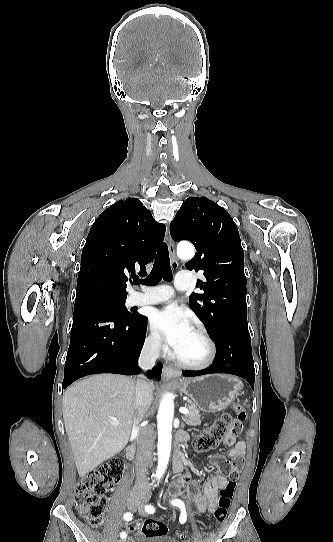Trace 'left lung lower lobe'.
Segmentation results:
<instances>
[{
    "instance_id": "1",
    "label": "left lung lower lobe",
    "mask_w": 333,
    "mask_h": 542,
    "mask_svg": "<svg viewBox=\"0 0 333 542\" xmlns=\"http://www.w3.org/2000/svg\"><path fill=\"white\" fill-rule=\"evenodd\" d=\"M214 341L216 355L212 365L200 371H185L183 375L192 377L212 373L233 374L246 379L253 389L255 369L248 325L230 324L221 330Z\"/></svg>"
}]
</instances>
